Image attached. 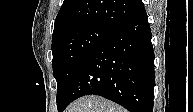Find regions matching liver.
Instances as JSON below:
<instances>
[{"mask_svg": "<svg viewBox=\"0 0 193 112\" xmlns=\"http://www.w3.org/2000/svg\"><path fill=\"white\" fill-rule=\"evenodd\" d=\"M65 112H126V109L102 97L89 95L71 103Z\"/></svg>", "mask_w": 193, "mask_h": 112, "instance_id": "obj_1", "label": "liver"}]
</instances>
